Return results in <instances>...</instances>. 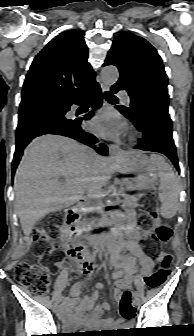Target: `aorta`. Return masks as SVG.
Wrapping results in <instances>:
<instances>
[{
	"mask_svg": "<svg viewBox=\"0 0 194 336\" xmlns=\"http://www.w3.org/2000/svg\"><path fill=\"white\" fill-rule=\"evenodd\" d=\"M118 78H119V73H118V69L115 66H106L101 70V79L103 83L107 85H112L116 83ZM111 190L114 191L115 187L112 186ZM106 203L107 205L114 204V202L111 200H108Z\"/></svg>",
	"mask_w": 194,
	"mask_h": 336,
	"instance_id": "obj_1",
	"label": "aorta"
}]
</instances>
